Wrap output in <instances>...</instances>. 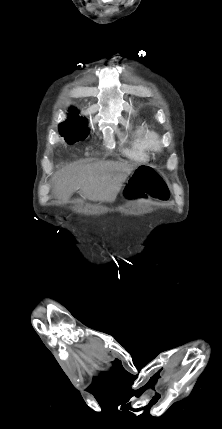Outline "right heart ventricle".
Segmentation results:
<instances>
[{"mask_svg":"<svg viewBox=\"0 0 222 429\" xmlns=\"http://www.w3.org/2000/svg\"><path fill=\"white\" fill-rule=\"evenodd\" d=\"M149 129L143 125H136L130 132V142L123 150L125 155L132 160L145 162L150 159V150L147 147Z\"/></svg>","mask_w":222,"mask_h":429,"instance_id":"1","label":"right heart ventricle"}]
</instances>
